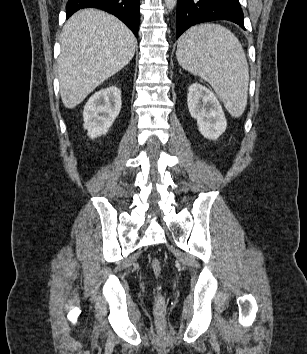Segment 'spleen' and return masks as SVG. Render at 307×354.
Returning <instances> with one entry per match:
<instances>
[{
  "mask_svg": "<svg viewBox=\"0 0 307 354\" xmlns=\"http://www.w3.org/2000/svg\"><path fill=\"white\" fill-rule=\"evenodd\" d=\"M176 57L186 71L207 81L233 117H240L248 98L249 67L241 43L225 27L202 24L178 40Z\"/></svg>",
  "mask_w": 307,
  "mask_h": 354,
  "instance_id": "1",
  "label": "spleen"
}]
</instances>
